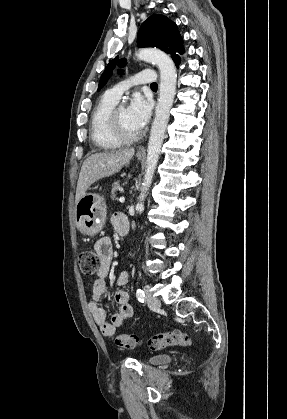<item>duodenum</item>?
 <instances>
[{
  "mask_svg": "<svg viewBox=\"0 0 287 419\" xmlns=\"http://www.w3.org/2000/svg\"><path fill=\"white\" fill-rule=\"evenodd\" d=\"M117 231H118L119 235L125 236L129 231V225L124 224L121 227H119Z\"/></svg>",
  "mask_w": 287,
  "mask_h": 419,
  "instance_id": "obj_1",
  "label": "duodenum"
}]
</instances>
